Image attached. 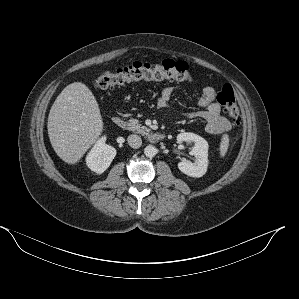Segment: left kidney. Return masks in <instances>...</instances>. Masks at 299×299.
Wrapping results in <instances>:
<instances>
[{
    "instance_id": "1",
    "label": "left kidney",
    "mask_w": 299,
    "mask_h": 299,
    "mask_svg": "<svg viewBox=\"0 0 299 299\" xmlns=\"http://www.w3.org/2000/svg\"><path fill=\"white\" fill-rule=\"evenodd\" d=\"M177 141L182 142H193L194 146L191 150V155L195 156V161L191 162L188 160H183L178 163V169L190 176V177H202L208 167V143L207 141L202 138L201 136L190 133L184 132L180 133L177 136Z\"/></svg>"
}]
</instances>
